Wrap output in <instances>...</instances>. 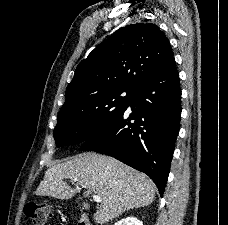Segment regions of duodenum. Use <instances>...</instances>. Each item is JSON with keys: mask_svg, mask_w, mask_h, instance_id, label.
<instances>
[{"mask_svg": "<svg viewBox=\"0 0 228 225\" xmlns=\"http://www.w3.org/2000/svg\"><path fill=\"white\" fill-rule=\"evenodd\" d=\"M76 224L77 225H91V221L85 212H81Z\"/></svg>", "mask_w": 228, "mask_h": 225, "instance_id": "1", "label": "duodenum"}]
</instances>
